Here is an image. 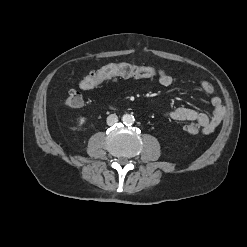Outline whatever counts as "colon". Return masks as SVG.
I'll list each match as a JSON object with an SVG mask.
<instances>
[{"label":"colon","instance_id":"colon-1","mask_svg":"<svg viewBox=\"0 0 247 247\" xmlns=\"http://www.w3.org/2000/svg\"><path fill=\"white\" fill-rule=\"evenodd\" d=\"M163 74L161 70L147 66H136L128 63L108 64L85 76L80 81L79 88L90 90L116 77L151 78L160 77ZM63 103L69 108H79L83 105L84 99L79 91L72 89L68 92ZM186 131L191 135L198 134L200 132V126L196 123H191L186 127Z\"/></svg>","mask_w":247,"mask_h":247}]
</instances>
